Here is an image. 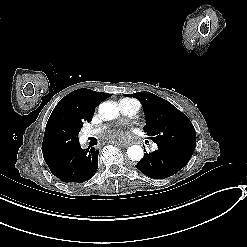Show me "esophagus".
Masks as SVG:
<instances>
[{
    "label": "esophagus",
    "mask_w": 247,
    "mask_h": 247,
    "mask_svg": "<svg viewBox=\"0 0 247 247\" xmlns=\"http://www.w3.org/2000/svg\"><path fill=\"white\" fill-rule=\"evenodd\" d=\"M124 148H127L129 145H132V142H127V141H124L122 144H121Z\"/></svg>",
    "instance_id": "34e87169"
}]
</instances>
